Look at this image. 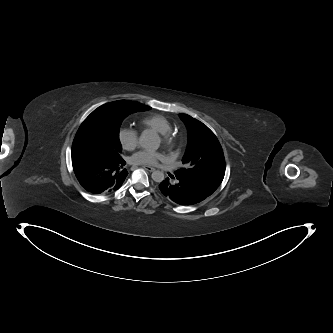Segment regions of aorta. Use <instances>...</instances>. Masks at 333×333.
Wrapping results in <instances>:
<instances>
[{
    "mask_svg": "<svg viewBox=\"0 0 333 333\" xmlns=\"http://www.w3.org/2000/svg\"><path fill=\"white\" fill-rule=\"evenodd\" d=\"M139 145L148 151L157 150L160 146V138L158 134L151 131H145L139 138ZM165 176L162 171L156 170L152 172V179L155 182H162Z\"/></svg>",
    "mask_w": 333,
    "mask_h": 333,
    "instance_id": "aorta-1",
    "label": "aorta"
}]
</instances>
